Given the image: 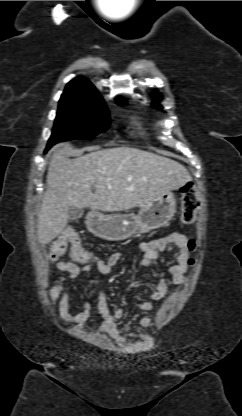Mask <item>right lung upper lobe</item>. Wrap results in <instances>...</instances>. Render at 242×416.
I'll use <instances>...</instances> for the list:
<instances>
[{"instance_id": "1", "label": "right lung upper lobe", "mask_w": 242, "mask_h": 416, "mask_svg": "<svg viewBox=\"0 0 242 416\" xmlns=\"http://www.w3.org/2000/svg\"><path fill=\"white\" fill-rule=\"evenodd\" d=\"M117 102L125 101L117 98ZM59 102L63 103H94L104 102L94 85L84 77L71 80L61 96Z\"/></svg>"}]
</instances>
